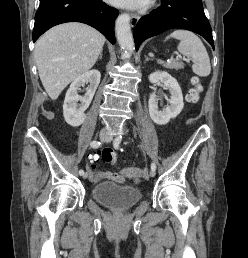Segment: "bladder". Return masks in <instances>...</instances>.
Masks as SVG:
<instances>
[{
    "label": "bladder",
    "mask_w": 248,
    "mask_h": 258,
    "mask_svg": "<svg viewBox=\"0 0 248 258\" xmlns=\"http://www.w3.org/2000/svg\"><path fill=\"white\" fill-rule=\"evenodd\" d=\"M92 196L96 202L107 207L125 209L139 202L142 192L136 187L104 182L93 187Z\"/></svg>",
    "instance_id": "1"
}]
</instances>
